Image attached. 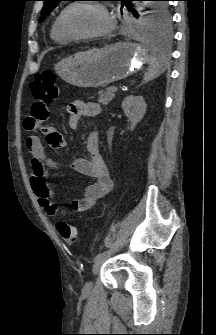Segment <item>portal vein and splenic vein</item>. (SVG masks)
I'll return each instance as SVG.
<instances>
[{"mask_svg": "<svg viewBox=\"0 0 216 335\" xmlns=\"http://www.w3.org/2000/svg\"><path fill=\"white\" fill-rule=\"evenodd\" d=\"M118 91V86H114L113 88H112V92H117Z\"/></svg>", "mask_w": 216, "mask_h": 335, "instance_id": "obj_1", "label": "portal vein and splenic vein"}]
</instances>
